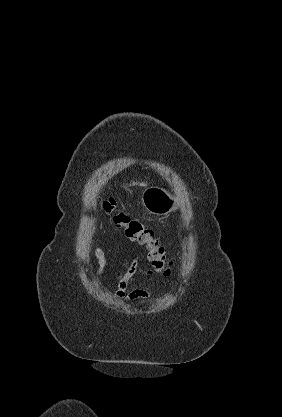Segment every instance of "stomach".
<instances>
[{"label": "stomach", "instance_id": "stomach-1", "mask_svg": "<svg viewBox=\"0 0 282 417\" xmlns=\"http://www.w3.org/2000/svg\"><path fill=\"white\" fill-rule=\"evenodd\" d=\"M142 204L151 215H168L178 209V200L174 194L160 188V186H148L142 192Z\"/></svg>", "mask_w": 282, "mask_h": 417}]
</instances>
